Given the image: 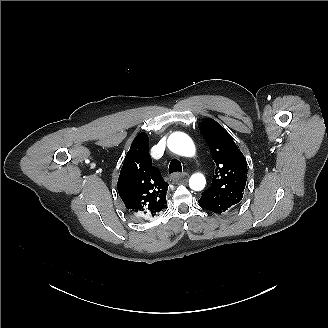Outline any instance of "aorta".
<instances>
[{"instance_id": "762f6f07", "label": "aorta", "mask_w": 328, "mask_h": 328, "mask_svg": "<svg viewBox=\"0 0 328 328\" xmlns=\"http://www.w3.org/2000/svg\"><path fill=\"white\" fill-rule=\"evenodd\" d=\"M167 143L168 148L180 156L192 157L195 154V146L192 139L183 132L171 134ZM205 184V177L201 173H195L189 179V186L195 191H201Z\"/></svg>"}]
</instances>
